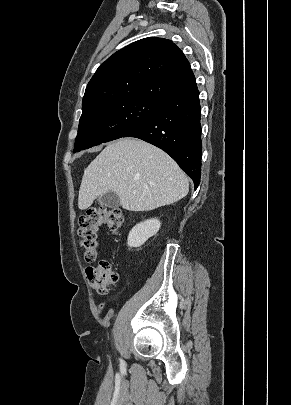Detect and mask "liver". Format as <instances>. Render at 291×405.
<instances>
[{"instance_id": "obj_1", "label": "liver", "mask_w": 291, "mask_h": 405, "mask_svg": "<svg viewBox=\"0 0 291 405\" xmlns=\"http://www.w3.org/2000/svg\"><path fill=\"white\" fill-rule=\"evenodd\" d=\"M189 191L186 175L161 149L136 138L108 144L84 170L78 207L114 192L129 211H149L184 198Z\"/></svg>"}]
</instances>
